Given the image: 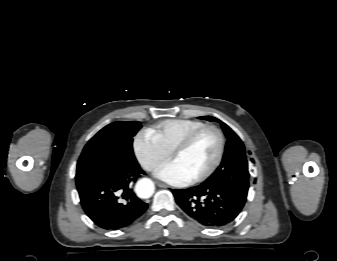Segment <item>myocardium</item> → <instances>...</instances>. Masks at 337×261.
Returning <instances> with one entry per match:
<instances>
[{
  "label": "myocardium",
  "instance_id": "1",
  "mask_svg": "<svg viewBox=\"0 0 337 261\" xmlns=\"http://www.w3.org/2000/svg\"><path fill=\"white\" fill-rule=\"evenodd\" d=\"M206 131H213L217 134L218 139H219V149H218L217 156L214 162L212 163V165L207 170H205L203 173L197 175L196 177L192 179V182L194 183L201 182L209 178L220 166L223 160L225 148H226V139H225V136L222 130L214 125H204L202 127H199L193 130L192 132H190L187 136H185L184 139L174 148V150L171 153L172 158L174 159L177 155L187 150L193 144V142L202 133Z\"/></svg>",
  "mask_w": 337,
  "mask_h": 261
}]
</instances>
